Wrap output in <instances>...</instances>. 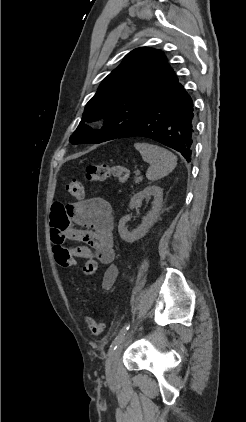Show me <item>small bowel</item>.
I'll use <instances>...</instances> for the list:
<instances>
[{"mask_svg": "<svg viewBox=\"0 0 246 422\" xmlns=\"http://www.w3.org/2000/svg\"><path fill=\"white\" fill-rule=\"evenodd\" d=\"M50 226L53 252L63 248L74 258L95 260L106 265L102 287H113L118 269L114 264V220L107 200L92 197L70 205L56 202L51 208ZM66 241L81 242L83 245L66 248Z\"/></svg>", "mask_w": 246, "mask_h": 422, "instance_id": "c3829d8e", "label": "small bowel"}]
</instances>
